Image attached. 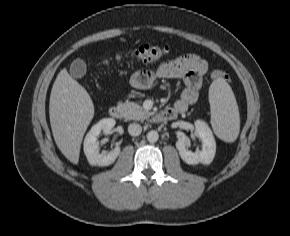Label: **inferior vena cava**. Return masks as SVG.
<instances>
[{
  "label": "inferior vena cava",
  "instance_id": "inferior-vena-cava-1",
  "mask_svg": "<svg viewBox=\"0 0 290 236\" xmlns=\"http://www.w3.org/2000/svg\"><path fill=\"white\" fill-rule=\"evenodd\" d=\"M128 132L132 136H138L142 132V127L140 124L132 123L128 126Z\"/></svg>",
  "mask_w": 290,
  "mask_h": 236
}]
</instances>
